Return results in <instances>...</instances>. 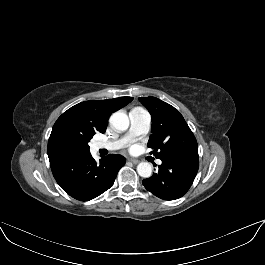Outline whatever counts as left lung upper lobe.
<instances>
[{"mask_svg":"<svg viewBox=\"0 0 265 265\" xmlns=\"http://www.w3.org/2000/svg\"><path fill=\"white\" fill-rule=\"evenodd\" d=\"M139 100L151 114L152 135L148 147L157 158L198 154L196 138L177 109L156 97Z\"/></svg>","mask_w":265,"mask_h":265,"instance_id":"left-lung-upper-lobe-1","label":"left lung upper lobe"}]
</instances>
